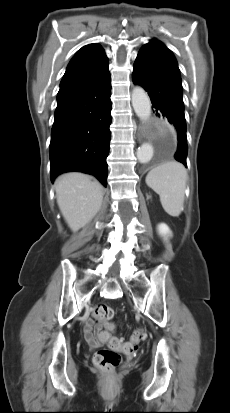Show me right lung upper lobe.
I'll list each match as a JSON object with an SVG mask.
<instances>
[{"label":"right lung upper lobe","instance_id":"right-lung-upper-lobe-1","mask_svg":"<svg viewBox=\"0 0 230 413\" xmlns=\"http://www.w3.org/2000/svg\"><path fill=\"white\" fill-rule=\"evenodd\" d=\"M108 58L98 44L83 46L71 59L60 88L87 81L108 71Z\"/></svg>","mask_w":230,"mask_h":413}]
</instances>
